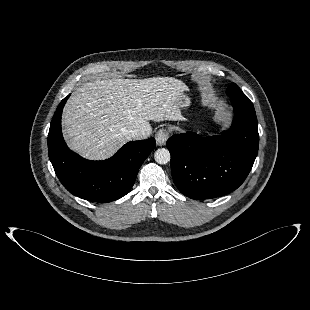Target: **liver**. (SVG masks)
I'll use <instances>...</instances> for the list:
<instances>
[{
    "label": "liver",
    "mask_w": 310,
    "mask_h": 310,
    "mask_svg": "<svg viewBox=\"0 0 310 310\" xmlns=\"http://www.w3.org/2000/svg\"><path fill=\"white\" fill-rule=\"evenodd\" d=\"M185 91L187 85L172 77L84 83L62 115L69 147L87 159H106L131 140L129 130L139 129L148 137V121L181 119L179 98Z\"/></svg>",
    "instance_id": "obj_1"
}]
</instances>
